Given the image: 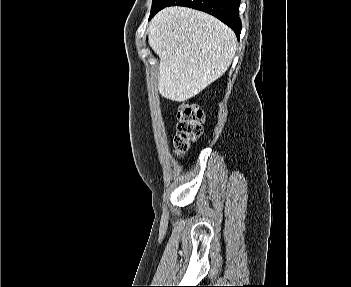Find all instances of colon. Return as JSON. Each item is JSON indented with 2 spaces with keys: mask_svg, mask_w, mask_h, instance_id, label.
Returning <instances> with one entry per match:
<instances>
[{
  "mask_svg": "<svg viewBox=\"0 0 351 287\" xmlns=\"http://www.w3.org/2000/svg\"><path fill=\"white\" fill-rule=\"evenodd\" d=\"M178 133L175 138V149L178 154H185L192 143L203 132L204 114L201 108L191 102H184L178 108Z\"/></svg>",
  "mask_w": 351,
  "mask_h": 287,
  "instance_id": "obj_1",
  "label": "colon"
}]
</instances>
